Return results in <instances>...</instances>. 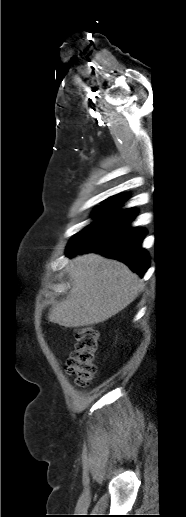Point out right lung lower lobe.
<instances>
[{
	"label": "right lung lower lobe",
	"instance_id": "obj_1",
	"mask_svg": "<svg viewBox=\"0 0 186 517\" xmlns=\"http://www.w3.org/2000/svg\"><path fill=\"white\" fill-rule=\"evenodd\" d=\"M120 204L77 233L67 246V256L99 252L122 261L143 276L149 266L148 254L141 247L146 230L130 227L136 211L120 209Z\"/></svg>",
	"mask_w": 186,
	"mask_h": 517
}]
</instances>
